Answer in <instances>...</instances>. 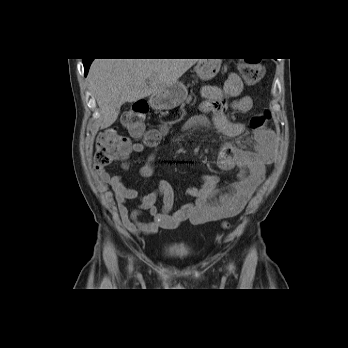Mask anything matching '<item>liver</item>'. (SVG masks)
Instances as JSON below:
<instances>
[{"label": "liver", "mask_w": 348, "mask_h": 348, "mask_svg": "<svg viewBox=\"0 0 348 348\" xmlns=\"http://www.w3.org/2000/svg\"><path fill=\"white\" fill-rule=\"evenodd\" d=\"M199 59H95L88 72L90 90L101 113V128L111 126L121 106L163 91Z\"/></svg>", "instance_id": "1"}]
</instances>
